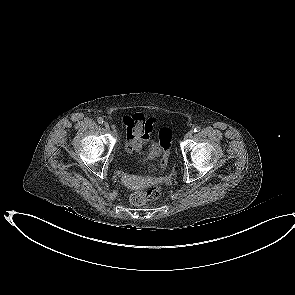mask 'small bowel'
Wrapping results in <instances>:
<instances>
[{"label":"small bowel","instance_id":"c3829d8e","mask_svg":"<svg viewBox=\"0 0 295 295\" xmlns=\"http://www.w3.org/2000/svg\"><path fill=\"white\" fill-rule=\"evenodd\" d=\"M123 122L127 126L126 152L129 154L139 153L151 139L153 120H146L142 114L136 113L124 117ZM118 180L135 190H150L154 187V182L152 180L144 181L143 179H136L135 177H130L126 173H120L118 175Z\"/></svg>","mask_w":295,"mask_h":295}]
</instances>
